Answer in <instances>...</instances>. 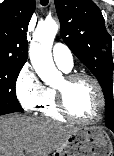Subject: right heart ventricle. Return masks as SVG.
I'll use <instances>...</instances> for the list:
<instances>
[{
    "mask_svg": "<svg viewBox=\"0 0 114 156\" xmlns=\"http://www.w3.org/2000/svg\"><path fill=\"white\" fill-rule=\"evenodd\" d=\"M37 111L48 118L59 121H63L65 119L58 111L56 89L54 88H46V98L43 103L39 105Z\"/></svg>",
    "mask_w": 114,
    "mask_h": 156,
    "instance_id": "right-heart-ventricle-1",
    "label": "right heart ventricle"
}]
</instances>
